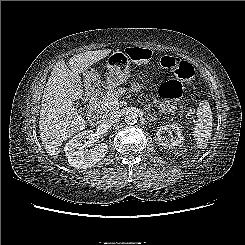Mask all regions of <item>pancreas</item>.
Segmentation results:
<instances>
[{
	"label": "pancreas",
	"instance_id": "1",
	"mask_svg": "<svg viewBox=\"0 0 245 245\" xmlns=\"http://www.w3.org/2000/svg\"><path fill=\"white\" fill-rule=\"evenodd\" d=\"M125 92H126L125 88H119L117 90L116 89L110 90L103 96V98L101 99V103L110 101L111 99H114V98H118V97L122 96V94H124ZM154 103L157 105L158 109L161 112H164V113L169 112V106L166 105L165 103L159 102L156 99H154ZM117 109H118V105L115 108H110V109H107V110L114 111V110H117Z\"/></svg>",
	"mask_w": 245,
	"mask_h": 245
}]
</instances>
